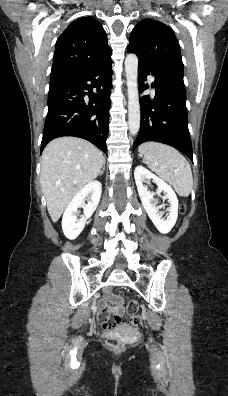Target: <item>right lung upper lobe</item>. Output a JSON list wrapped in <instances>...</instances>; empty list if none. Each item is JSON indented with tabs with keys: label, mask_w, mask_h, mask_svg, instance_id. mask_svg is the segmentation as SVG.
Masks as SVG:
<instances>
[{
	"label": "right lung upper lobe",
	"mask_w": 228,
	"mask_h": 396,
	"mask_svg": "<svg viewBox=\"0 0 228 396\" xmlns=\"http://www.w3.org/2000/svg\"><path fill=\"white\" fill-rule=\"evenodd\" d=\"M110 56L102 25L91 17L80 18L70 23L56 42L51 78L94 68Z\"/></svg>",
	"instance_id": "right-lung-upper-lobe-1"
}]
</instances>
